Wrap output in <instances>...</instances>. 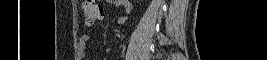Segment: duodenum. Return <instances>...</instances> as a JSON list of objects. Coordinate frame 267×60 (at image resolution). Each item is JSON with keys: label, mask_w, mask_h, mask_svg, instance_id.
<instances>
[{"label": "duodenum", "mask_w": 267, "mask_h": 60, "mask_svg": "<svg viewBox=\"0 0 267 60\" xmlns=\"http://www.w3.org/2000/svg\"><path fill=\"white\" fill-rule=\"evenodd\" d=\"M116 3H127L128 1H126V0H117V1H115Z\"/></svg>", "instance_id": "410a0bca"}]
</instances>
